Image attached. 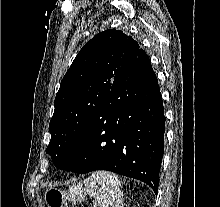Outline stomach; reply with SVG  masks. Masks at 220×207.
<instances>
[{
	"mask_svg": "<svg viewBox=\"0 0 220 207\" xmlns=\"http://www.w3.org/2000/svg\"><path fill=\"white\" fill-rule=\"evenodd\" d=\"M87 193L86 187L81 184H73L68 192L59 188L50 187L44 192V200L48 207H63L67 201L82 202Z\"/></svg>",
	"mask_w": 220,
	"mask_h": 207,
	"instance_id": "1",
	"label": "stomach"
}]
</instances>
